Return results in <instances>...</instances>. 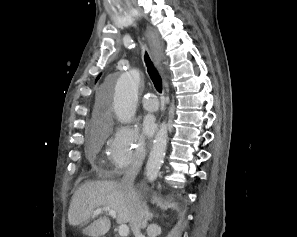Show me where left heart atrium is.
I'll list each match as a JSON object with an SVG mask.
<instances>
[{
	"instance_id": "39dd6f15",
	"label": "left heart atrium",
	"mask_w": 297,
	"mask_h": 237,
	"mask_svg": "<svg viewBox=\"0 0 297 237\" xmlns=\"http://www.w3.org/2000/svg\"><path fill=\"white\" fill-rule=\"evenodd\" d=\"M142 127L146 135H151L155 129V118L152 115H146L142 120Z\"/></svg>"
}]
</instances>
